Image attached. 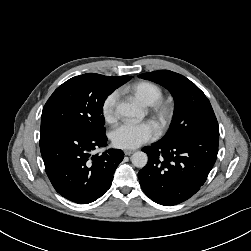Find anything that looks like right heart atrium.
Listing matches in <instances>:
<instances>
[{
    "instance_id": "right-heart-atrium-1",
    "label": "right heart atrium",
    "mask_w": 251,
    "mask_h": 251,
    "mask_svg": "<svg viewBox=\"0 0 251 251\" xmlns=\"http://www.w3.org/2000/svg\"><path fill=\"white\" fill-rule=\"evenodd\" d=\"M118 97V92L112 91L102 101L101 113L106 122H113L116 118L115 108Z\"/></svg>"
}]
</instances>
